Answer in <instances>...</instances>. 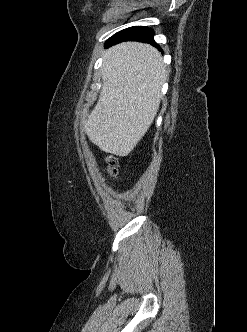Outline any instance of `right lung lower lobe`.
I'll list each match as a JSON object with an SVG mask.
<instances>
[{"mask_svg":"<svg viewBox=\"0 0 247 332\" xmlns=\"http://www.w3.org/2000/svg\"><path fill=\"white\" fill-rule=\"evenodd\" d=\"M153 35L154 32L150 28L143 26H134L114 34L106 41L105 47L108 48L122 41H138L144 43H151L159 48V45L154 43Z\"/></svg>","mask_w":247,"mask_h":332,"instance_id":"right-lung-lower-lobe-1","label":"right lung lower lobe"}]
</instances>
